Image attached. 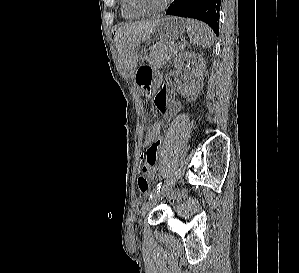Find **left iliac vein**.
<instances>
[{
    "instance_id": "1",
    "label": "left iliac vein",
    "mask_w": 299,
    "mask_h": 273,
    "mask_svg": "<svg viewBox=\"0 0 299 273\" xmlns=\"http://www.w3.org/2000/svg\"><path fill=\"white\" fill-rule=\"evenodd\" d=\"M176 182L177 180L174 179L171 183L166 185L160 192L155 194V196H153L151 200L142 207L141 215H145L152 207H154L160 200H162L165 197V195L172 189Z\"/></svg>"
}]
</instances>
